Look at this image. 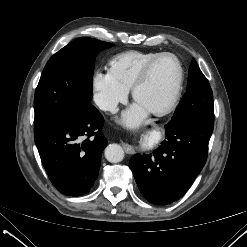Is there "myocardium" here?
I'll return each mask as SVG.
<instances>
[{"label": "myocardium", "mask_w": 247, "mask_h": 247, "mask_svg": "<svg viewBox=\"0 0 247 247\" xmlns=\"http://www.w3.org/2000/svg\"><path fill=\"white\" fill-rule=\"evenodd\" d=\"M164 57H171L176 61L177 66H178V78H177V82H176L174 91L170 99L163 106L148 110L151 114L157 115V116H162V115H165L171 112L176 106L180 98L182 86H183V80H184V70H183V66L179 58L175 54L170 53V52H164V53L158 54L143 67V69L140 71V73L138 74V76L136 77L135 81L133 82L131 86V96L136 101V94H137L138 89L147 80L154 65L160 59Z\"/></svg>", "instance_id": "f54148a6"}]
</instances>
